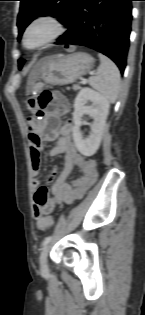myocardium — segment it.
I'll use <instances>...</instances> for the list:
<instances>
[{
	"label": "myocardium",
	"instance_id": "obj_1",
	"mask_svg": "<svg viewBox=\"0 0 145 315\" xmlns=\"http://www.w3.org/2000/svg\"><path fill=\"white\" fill-rule=\"evenodd\" d=\"M40 24L48 25L50 27V32L41 43L35 46H29L27 43L28 34L32 28ZM63 32H64L63 24L57 17L51 14H42V15H38L34 17L26 25L23 32L22 42H23L24 47H26L27 49L38 50L54 42L57 38H59L62 35Z\"/></svg>",
	"mask_w": 145,
	"mask_h": 315
}]
</instances>
